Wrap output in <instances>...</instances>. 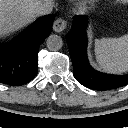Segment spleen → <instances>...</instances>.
I'll return each instance as SVG.
<instances>
[{"label": "spleen", "mask_w": 128, "mask_h": 128, "mask_svg": "<svg viewBox=\"0 0 128 128\" xmlns=\"http://www.w3.org/2000/svg\"><path fill=\"white\" fill-rule=\"evenodd\" d=\"M95 55L104 69L113 72L128 70V34L119 38L96 39Z\"/></svg>", "instance_id": "1"}]
</instances>
